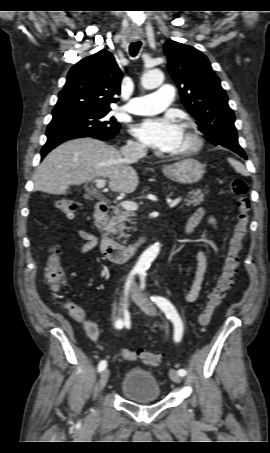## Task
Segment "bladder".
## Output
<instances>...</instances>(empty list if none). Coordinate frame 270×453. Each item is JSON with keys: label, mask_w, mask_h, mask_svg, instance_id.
Returning <instances> with one entry per match:
<instances>
[{"label": "bladder", "mask_w": 270, "mask_h": 453, "mask_svg": "<svg viewBox=\"0 0 270 453\" xmlns=\"http://www.w3.org/2000/svg\"><path fill=\"white\" fill-rule=\"evenodd\" d=\"M120 391L129 401L136 403H151L161 398L159 381L151 372L140 368L125 373Z\"/></svg>", "instance_id": "obj_1"}]
</instances>
